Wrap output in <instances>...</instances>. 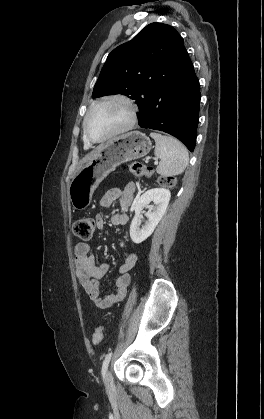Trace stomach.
Instances as JSON below:
<instances>
[{
    "mask_svg": "<svg viewBox=\"0 0 264 419\" xmlns=\"http://www.w3.org/2000/svg\"><path fill=\"white\" fill-rule=\"evenodd\" d=\"M150 139L139 131L129 132L104 143L96 156L80 169L68 186V196L75 210H84L102 180L118 165L146 156Z\"/></svg>",
    "mask_w": 264,
    "mask_h": 419,
    "instance_id": "obj_1",
    "label": "stomach"
}]
</instances>
